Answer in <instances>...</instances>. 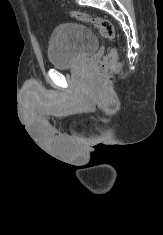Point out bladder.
Masks as SVG:
<instances>
[{"label":"bladder","instance_id":"bladder-1","mask_svg":"<svg viewBox=\"0 0 163 235\" xmlns=\"http://www.w3.org/2000/svg\"><path fill=\"white\" fill-rule=\"evenodd\" d=\"M98 46L97 36L91 28L79 23H65L53 30L48 57L54 68H70L95 52Z\"/></svg>","mask_w":163,"mask_h":235}]
</instances>
